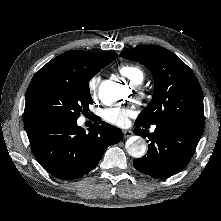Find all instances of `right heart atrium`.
Masks as SVG:
<instances>
[{"instance_id": "obj_1", "label": "right heart atrium", "mask_w": 221, "mask_h": 221, "mask_svg": "<svg viewBox=\"0 0 221 221\" xmlns=\"http://www.w3.org/2000/svg\"><path fill=\"white\" fill-rule=\"evenodd\" d=\"M100 82H101V76L99 74H94L88 80L87 88H88L89 93L92 96L96 95L99 85H100Z\"/></svg>"}]
</instances>
